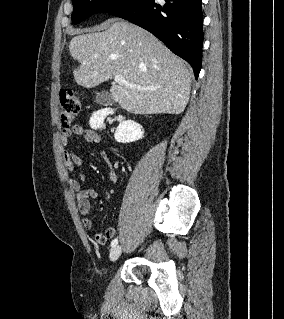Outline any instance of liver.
I'll return each mask as SVG.
<instances>
[{"instance_id": "obj_1", "label": "liver", "mask_w": 284, "mask_h": 319, "mask_svg": "<svg viewBox=\"0 0 284 319\" xmlns=\"http://www.w3.org/2000/svg\"><path fill=\"white\" fill-rule=\"evenodd\" d=\"M69 44L80 63L74 70L78 85L91 88L116 75L140 86L113 85L112 99L134 114H179L190 95L192 72L148 31L127 21H115L105 31L86 30Z\"/></svg>"}]
</instances>
